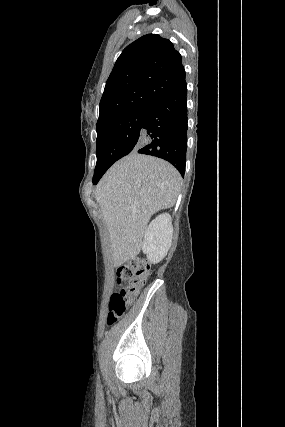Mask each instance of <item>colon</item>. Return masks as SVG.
<instances>
[{
    "mask_svg": "<svg viewBox=\"0 0 285 427\" xmlns=\"http://www.w3.org/2000/svg\"><path fill=\"white\" fill-rule=\"evenodd\" d=\"M150 270V263L142 258H132L117 268V288L109 297L107 325H113L126 312L147 281Z\"/></svg>",
    "mask_w": 285,
    "mask_h": 427,
    "instance_id": "obj_1",
    "label": "colon"
}]
</instances>
